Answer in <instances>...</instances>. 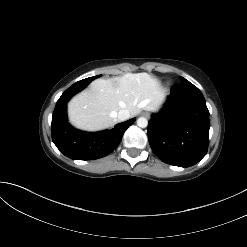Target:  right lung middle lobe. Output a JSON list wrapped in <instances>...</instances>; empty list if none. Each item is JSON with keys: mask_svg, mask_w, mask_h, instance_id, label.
I'll list each match as a JSON object with an SVG mask.
<instances>
[{"mask_svg": "<svg viewBox=\"0 0 247 247\" xmlns=\"http://www.w3.org/2000/svg\"><path fill=\"white\" fill-rule=\"evenodd\" d=\"M100 76H101V75L94 76V77H89V78L83 79V80L78 81V82L89 84L92 80H94V79H96V78H98V77H100Z\"/></svg>", "mask_w": 247, "mask_h": 247, "instance_id": "obj_1", "label": "right lung middle lobe"}]
</instances>
